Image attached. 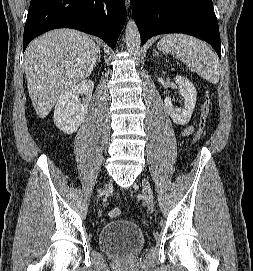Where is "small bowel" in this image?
I'll list each match as a JSON object with an SVG mask.
<instances>
[{"mask_svg": "<svg viewBox=\"0 0 253 271\" xmlns=\"http://www.w3.org/2000/svg\"><path fill=\"white\" fill-rule=\"evenodd\" d=\"M193 131H194V126L188 125L182 130L181 134H182V136H188V135L192 134Z\"/></svg>", "mask_w": 253, "mask_h": 271, "instance_id": "small-bowel-1", "label": "small bowel"}]
</instances>
